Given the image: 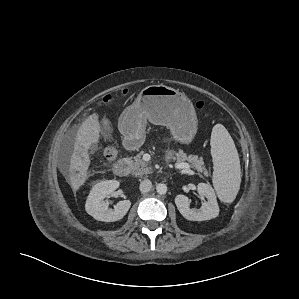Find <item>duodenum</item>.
<instances>
[{"mask_svg":"<svg viewBox=\"0 0 299 299\" xmlns=\"http://www.w3.org/2000/svg\"><path fill=\"white\" fill-rule=\"evenodd\" d=\"M133 140L132 139H126V146L128 148H133ZM114 173L119 177H125L128 174V163L125 160H119L114 164L113 167Z\"/></svg>","mask_w":299,"mask_h":299,"instance_id":"410a0bca","label":"duodenum"}]
</instances>
